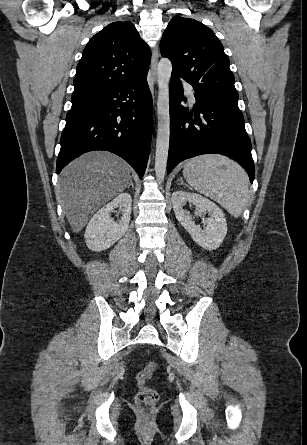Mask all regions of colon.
Wrapping results in <instances>:
<instances>
[{"label":"colon","instance_id":"colon-1","mask_svg":"<svg viewBox=\"0 0 307 445\" xmlns=\"http://www.w3.org/2000/svg\"><path fill=\"white\" fill-rule=\"evenodd\" d=\"M155 368V363L150 362L136 375L138 385L136 402L140 407L145 409L152 408L158 401L157 391L146 385V382L152 377Z\"/></svg>","mask_w":307,"mask_h":445}]
</instances>
